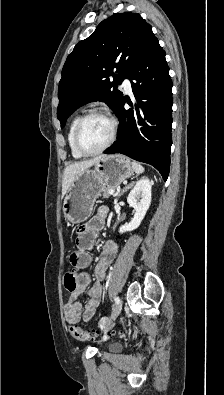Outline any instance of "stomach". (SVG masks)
I'll return each mask as SVG.
<instances>
[{"mask_svg":"<svg viewBox=\"0 0 224 395\" xmlns=\"http://www.w3.org/2000/svg\"><path fill=\"white\" fill-rule=\"evenodd\" d=\"M130 160L124 155L101 158L92 169L79 172L73 180L63 202L67 222L78 224L90 216L95 200L107 188H116L133 175Z\"/></svg>","mask_w":224,"mask_h":395,"instance_id":"1","label":"stomach"}]
</instances>
